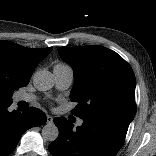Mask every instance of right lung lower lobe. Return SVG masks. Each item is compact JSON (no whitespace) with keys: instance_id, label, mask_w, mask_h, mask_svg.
<instances>
[{"instance_id":"98d812e1","label":"right lung lower lobe","mask_w":156,"mask_h":156,"mask_svg":"<svg viewBox=\"0 0 156 156\" xmlns=\"http://www.w3.org/2000/svg\"><path fill=\"white\" fill-rule=\"evenodd\" d=\"M11 101L0 102V156H7L17 146L22 134L31 127L46 123L45 114L31 107L20 113L8 111Z\"/></svg>"}]
</instances>
